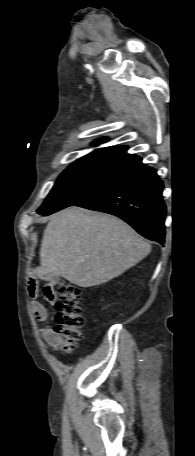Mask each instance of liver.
I'll return each instance as SVG.
<instances>
[{
    "mask_svg": "<svg viewBox=\"0 0 195 456\" xmlns=\"http://www.w3.org/2000/svg\"><path fill=\"white\" fill-rule=\"evenodd\" d=\"M150 251L149 243L121 219L69 207L54 214L45 228L40 274L92 287L123 274Z\"/></svg>",
    "mask_w": 195,
    "mask_h": 456,
    "instance_id": "obj_1",
    "label": "liver"
}]
</instances>
